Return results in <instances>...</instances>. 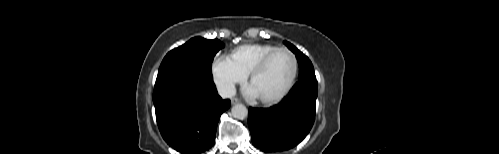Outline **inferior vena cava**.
Masks as SVG:
<instances>
[{"label":"inferior vena cava","instance_id":"obj_1","mask_svg":"<svg viewBox=\"0 0 499 154\" xmlns=\"http://www.w3.org/2000/svg\"><path fill=\"white\" fill-rule=\"evenodd\" d=\"M218 93L222 98H231L236 94L234 85L225 84L218 87Z\"/></svg>","mask_w":499,"mask_h":154}]
</instances>
